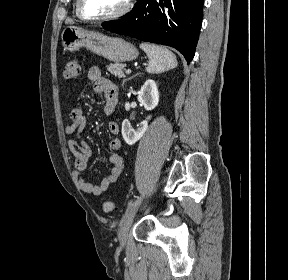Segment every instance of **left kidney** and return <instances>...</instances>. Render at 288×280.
Masks as SVG:
<instances>
[{
  "mask_svg": "<svg viewBox=\"0 0 288 280\" xmlns=\"http://www.w3.org/2000/svg\"><path fill=\"white\" fill-rule=\"evenodd\" d=\"M138 101L147 111L156 108L159 103V92L154 80L149 79L144 83L138 94ZM149 119L150 116H148L146 120L142 121L136 130L132 128L129 120L125 119L122 122V136L128 145L135 144L143 137L147 131Z\"/></svg>",
  "mask_w": 288,
  "mask_h": 280,
  "instance_id": "5707ae66",
  "label": "left kidney"
}]
</instances>
